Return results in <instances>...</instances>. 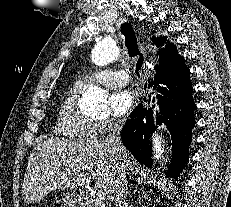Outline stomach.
I'll return each instance as SVG.
<instances>
[{"label": "stomach", "instance_id": "obj_1", "mask_svg": "<svg viewBox=\"0 0 231 207\" xmlns=\"http://www.w3.org/2000/svg\"><path fill=\"white\" fill-rule=\"evenodd\" d=\"M61 202L64 207H76V205L80 203V197L78 192L74 191L72 193L64 194Z\"/></svg>", "mask_w": 231, "mask_h": 207}]
</instances>
